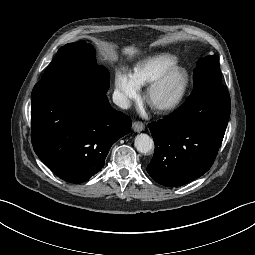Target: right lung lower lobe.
Listing matches in <instances>:
<instances>
[{
	"instance_id": "1",
	"label": "right lung lower lobe",
	"mask_w": 255,
	"mask_h": 255,
	"mask_svg": "<svg viewBox=\"0 0 255 255\" xmlns=\"http://www.w3.org/2000/svg\"><path fill=\"white\" fill-rule=\"evenodd\" d=\"M32 145L58 177L87 181L104 166L132 122L114 110L104 92L73 77H44L31 95Z\"/></svg>"
}]
</instances>
